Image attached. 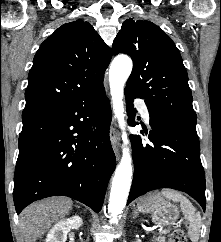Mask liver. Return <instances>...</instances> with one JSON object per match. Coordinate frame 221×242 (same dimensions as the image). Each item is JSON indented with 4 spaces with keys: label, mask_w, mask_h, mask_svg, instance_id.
Returning <instances> with one entry per match:
<instances>
[{
    "label": "liver",
    "mask_w": 221,
    "mask_h": 242,
    "mask_svg": "<svg viewBox=\"0 0 221 242\" xmlns=\"http://www.w3.org/2000/svg\"><path fill=\"white\" fill-rule=\"evenodd\" d=\"M71 209L72 201L65 197L49 198L28 206L20 216L24 241L36 242L54 222L68 215Z\"/></svg>",
    "instance_id": "6515ba94"
}]
</instances>
